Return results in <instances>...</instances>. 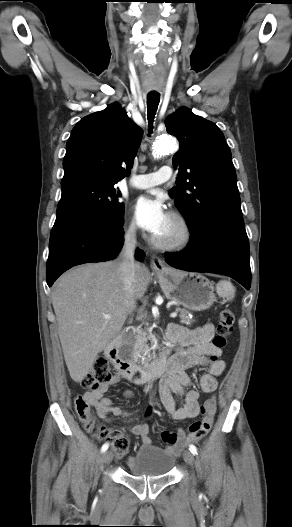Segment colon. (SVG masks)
Here are the masks:
<instances>
[{
  "mask_svg": "<svg viewBox=\"0 0 292 527\" xmlns=\"http://www.w3.org/2000/svg\"><path fill=\"white\" fill-rule=\"evenodd\" d=\"M234 313L230 309H224L220 313L219 321L216 326V333L212 344L217 349L226 347L228 338L233 331ZM217 357L211 356L210 361H215ZM112 378L111 363L107 358H98L87 375L81 380V385L89 390H96L102 384ZM75 409L80 421L86 430L93 433L100 439H106L111 443L112 450L118 457L124 456L129 449V439L121 428H107L97 425L91 413L89 402L84 396H77L75 399ZM166 440V439H165Z\"/></svg>",
  "mask_w": 292,
  "mask_h": 527,
  "instance_id": "5ec220e1",
  "label": "colon"
}]
</instances>
